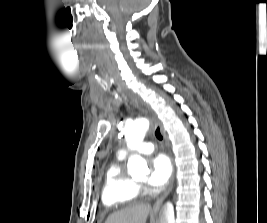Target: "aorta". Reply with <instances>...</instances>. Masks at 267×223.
Returning <instances> with one entry per match:
<instances>
[{
    "label": "aorta",
    "instance_id": "aorta-1",
    "mask_svg": "<svg viewBox=\"0 0 267 223\" xmlns=\"http://www.w3.org/2000/svg\"><path fill=\"white\" fill-rule=\"evenodd\" d=\"M149 128V122L145 119L140 121L128 122L124 129L125 139L128 147L138 148ZM128 172L132 176L147 174L149 172L146 161L138 156H132L128 160ZM158 223H175L174 207L171 202L165 203L159 213Z\"/></svg>",
    "mask_w": 267,
    "mask_h": 223
}]
</instances>
